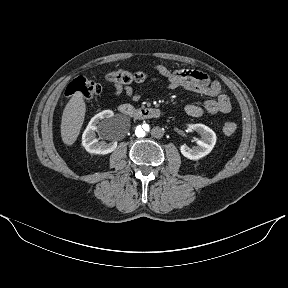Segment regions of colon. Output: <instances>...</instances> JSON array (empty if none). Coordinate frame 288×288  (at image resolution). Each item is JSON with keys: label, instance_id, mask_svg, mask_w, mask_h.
Segmentation results:
<instances>
[{"label": "colon", "instance_id": "obj_1", "mask_svg": "<svg viewBox=\"0 0 288 288\" xmlns=\"http://www.w3.org/2000/svg\"><path fill=\"white\" fill-rule=\"evenodd\" d=\"M146 78L147 75L142 71L130 72L126 70H118L107 75V80L121 85L140 83L145 81ZM100 91V85L95 81L84 77H77L69 83L66 88L65 95L67 97L80 95L84 99L89 100L97 96ZM236 129L237 126L232 121H226L222 126V130L227 136L233 135L236 132Z\"/></svg>", "mask_w": 288, "mask_h": 288}]
</instances>
